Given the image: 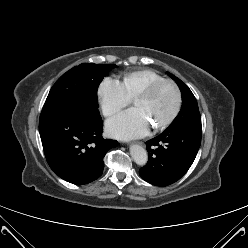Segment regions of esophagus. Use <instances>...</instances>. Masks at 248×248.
Wrapping results in <instances>:
<instances>
[{
    "label": "esophagus",
    "mask_w": 248,
    "mask_h": 248,
    "mask_svg": "<svg viewBox=\"0 0 248 248\" xmlns=\"http://www.w3.org/2000/svg\"><path fill=\"white\" fill-rule=\"evenodd\" d=\"M129 141H123V143H128ZM139 144H143V142H141V141H137Z\"/></svg>",
    "instance_id": "1"
}]
</instances>
